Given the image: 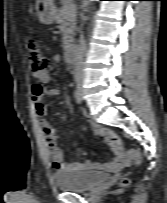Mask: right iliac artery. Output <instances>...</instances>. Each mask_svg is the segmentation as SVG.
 I'll return each mask as SVG.
<instances>
[{"label": "right iliac artery", "instance_id": "obj_1", "mask_svg": "<svg viewBox=\"0 0 167 203\" xmlns=\"http://www.w3.org/2000/svg\"><path fill=\"white\" fill-rule=\"evenodd\" d=\"M74 97H75V100L78 104L82 103V96L78 90H75Z\"/></svg>", "mask_w": 167, "mask_h": 203}]
</instances>
